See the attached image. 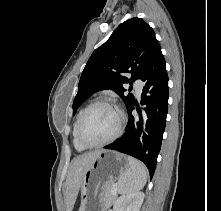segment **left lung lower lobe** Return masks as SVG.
<instances>
[{"instance_id":"obj_1","label":"left lung lower lobe","mask_w":221,"mask_h":211,"mask_svg":"<svg viewBox=\"0 0 221 211\" xmlns=\"http://www.w3.org/2000/svg\"><path fill=\"white\" fill-rule=\"evenodd\" d=\"M141 80L145 84L141 104L145 107L140 109L136 106V116L132 115L136 102L127 107L129 120L125 134L105 148L141 160L152 178L168 112V75L161 50L156 53Z\"/></svg>"}]
</instances>
